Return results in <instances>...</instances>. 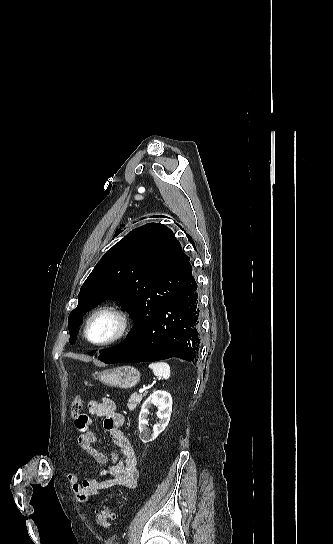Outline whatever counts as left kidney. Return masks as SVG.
<instances>
[{"label": "left kidney", "instance_id": "5707ae66", "mask_svg": "<svg viewBox=\"0 0 333 544\" xmlns=\"http://www.w3.org/2000/svg\"><path fill=\"white\" fill-rule=\"evenodd\" d=\"M154 405L158 407L157 417L159 422L154 425L153 430L147 428L149 408ZM172 412V397L170 393L157 390L154 391L143 403L139 414V437L143 443L154 441L164 431L170 421Z\"/></svg>", "mask_w": 333, "mask_h": 544}]
</instances>
